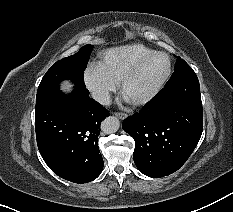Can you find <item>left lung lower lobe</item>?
I'll return each instance as SVG.
<instances>
[{
	"instance_id": "obj_1",
	"label": "left lung lower lobe",
	"mask_w": 233,
	"mask_h": 212,
	"mask_svg": "<svg viewBox=\"0 0 233 212\" xmlns=\"http://www.w3.org/2000/svg\"><path fill=\"white\" fill-rule=\"evenodd\" d=\"M135 140L134 162L143 174L163 177L189 158L203 131L202 101L196 75L165 87L141 111L122 123Z\"/></svg>"
}]
</instances>
